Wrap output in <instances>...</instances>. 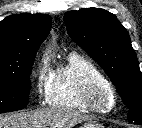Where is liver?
Instances as JSON below:
<instances>
[{
	"instance_id": "6515ba94",
	"label": "liver",
	"mask_w": 142,
	"mask_h": 128,
	"mask_svg": "<svg viewBox=\"0 0 142 128\" xmlns=\"http://www.w3.org/2000/svg\"><path fill=\"white\" fill-rule=\"evenodd\" d=\"M90 117L79 111L52 107L0 116V128H73Z\"/></svg>"
}]
</instances>
